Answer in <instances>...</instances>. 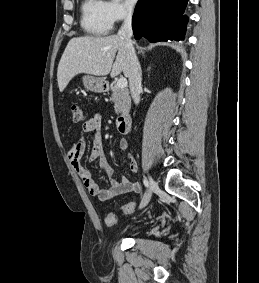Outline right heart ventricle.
<instances>
[{"mask_svg": "<svg viewBox=\"0 0 259 283\" xmlns=\"http://www.w3.org/2000/svg\"><path fill=\"white\" fill-rule=\"evenodd\" d=\"M81 24L84 30L94 36H105L113 28L104 0H84Z\"/></svg>", "mask_w": 259, "mask_h": 283, "instance_id": "1", "label": "right heart ventricle"}]
</instances>
